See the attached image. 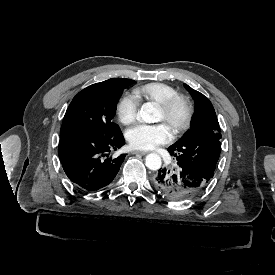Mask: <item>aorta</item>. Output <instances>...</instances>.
Returning <instances> with one entry per match:
<instances>
[{
  "instance_id": "obj_1",
  "label": "aorta",
  "mask_w": 275,
  "mask_h": 275,
  "mask_svg": "<svg viewBox=\"0 0 275 275\" xmlns=\"http://www.w3.org/2000/svg\"><path fill=\"white\" fill-rule=\"evenodd\" d=\"M138 115L146 123H157L162 119V110L147 102L141 106ZM145 164L149 170L157 171L161 168L162 161L158 154L151 153L146 156Z\"/></svg>"
}]
</instances>
